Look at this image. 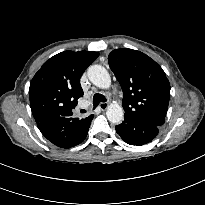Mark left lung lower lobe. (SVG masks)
<instances>
[{
  "instance_id": "left-lung-lower-lobe-1",
  "label": "left lung lower lobe",
  "mask_w": 205,
  "mask_h": 205,
  "mask_svg": "<svg viewBox=\"0 0 205 205\" xmlns=\"http://www.w3.org/2000/svg\"><path fill=\"white\" fill-rule=\"evenodd\" d=\"M115 129L125 142L137 146L151 142L159 132V126L129 117H124V121Z\"/></svg>"
}]
</instances>
